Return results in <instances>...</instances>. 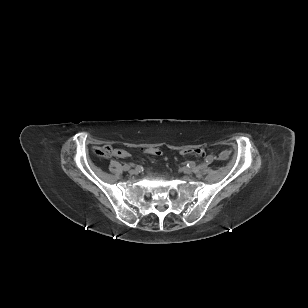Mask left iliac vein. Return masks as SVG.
<instances>
[{"label": "left iliac vein", "mask_w": 308, "mask_h": 308, "mask_svg": "<svg viewBox=\"0 0 308 308\" xmlns=\"http://www.w3.org/2000/svg\"><path fill=\"white\" fill-rule=\"evenodd\" d=\"M183 172L186 173V174H191L193 172V170L191 168H182Z\"/></svg>", "instance_id": "obj_1"}]
</instances>
